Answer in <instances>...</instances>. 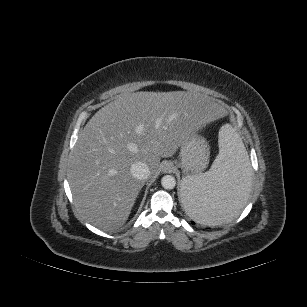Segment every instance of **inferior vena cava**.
<instances>
[{"label":"inferior vena cava","mask_w":307,"mask_h":307,"mask_svg":"<svg viewBox=\"0 0 307 307\" xmlns=\"http://www.w3.org/2000/svg\"><path fill=\"white\" fill-rule=\"evenodd\" d=\"M130 171L132 176L139 180H145L150 175V169L148 165L141 161L133 163L130 167Z\"/></svg>","instance_id":"602c4592"}]
</instances>
